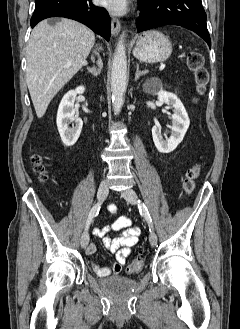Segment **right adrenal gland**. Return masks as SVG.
Segmentation results:
<instances>
[{
  "mask_svg": "<svg viewBox=\"0 0 240 329\" xmlns=\"http://www.w3.org/2000/svg\"><path fill=\"white\" fill-rule=\"evenodd\" d=\"M97 65H98V68H96V67H92V68L87 67L88 72L91 73L93 76H97L100 73V70L102 68V61H101L100 58L97 61Z\"/></svg>",
  "mask_w": 240,
  "mask_h": 329,
  "instance_id": "2a0ac1e0",
  "label": "right adrenal gland"
}]
</instances>
